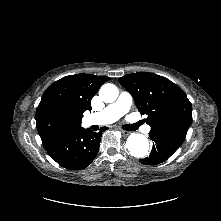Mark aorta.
I'll return each instance as SVG.
<instances>
[{"instance_id": "1", "label": "aorta", "mask_w": 221, "mask_h": 221, "mask_svg": "<svg viewBox=\"0 0 221 221\" xmlns=\"http://www.w3.org/2000/svg\"><path fill=\"white\" fill-rule=\"evenodd\" d=\"M119 95L118 88L111 83L102 85L99 90L100 98L106 103L114 102ZM126 147L130 154L137 158H143L148 154V139L139 133H131L126 141Z\"/></svg>"}]
</instances>
